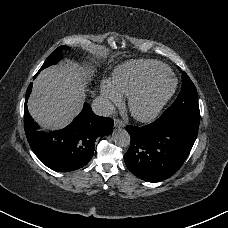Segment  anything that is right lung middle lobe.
I'll use <instances>...</instances> for the list:
<instances>
[{"instance_id":"right-lung-middle-lobe-1","label":"right lung middle lobe","mask_w":228,"mask_h":228,"mask_svg":"<svg viewBox=\"0 0 228 228\" xmlns=\"http://www.w3.org/2000/svg\"><path fill=\"white\" fill-rule=\"evenodd\" d=\"M67 48V46L58 47L52 54L49 55V57L46 59L40 70L47 68L53 64H56L61 59L60 51ZM40 70L38 71V73L40 72Z\"/></svg>"}]
</instances>
